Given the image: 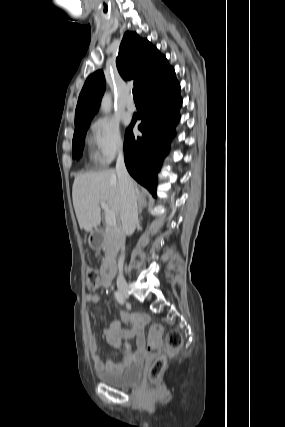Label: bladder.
<instances>
[{
  "mask_svg": "<svg viewBox=\"0 0 285 427\" xmlns=\"http://www.w3.org/2000/svg\"><path fill=\"white\" fill-rule=\"evenodd\" d=\"M142 376V363L136 362L121 370L101 372L99 378L111 387H128L137 383Z\"/></svg>",
  "mask_w": 285,
  "mask_h": 427,
  "instance_id": "31cf9c89",
  "label": "bladder"
}]
</instances>
